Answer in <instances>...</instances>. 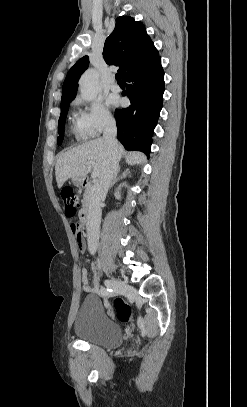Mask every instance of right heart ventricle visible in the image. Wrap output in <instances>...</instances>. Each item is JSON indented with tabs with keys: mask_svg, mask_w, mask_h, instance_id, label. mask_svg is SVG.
I'll list each match as a JSON object with an SVG mask.
<instances>
[{
	"mask_svg": "<svg viewBox=\"0 0 247 407\" xmlns=\"http://www.w3.org/2000/svg\"><path fill=\"white\" fill-rule=\"evenodd\" d=\"M73 131H74L75 133H77L79 136H81L80 130H79V128L77 127V125L73 127ZM81 137H82V136H81Z\"/></svg>",
	"mask_w": 247,
	"mask_h": 407,
	"instance_id": "e07e8e85",
	"label": "right heart ventricle"
}]
</instances>
